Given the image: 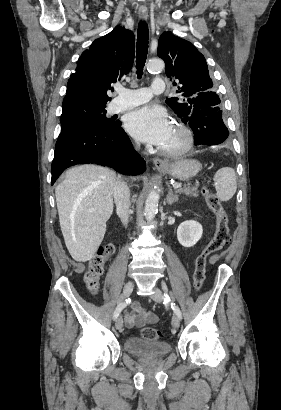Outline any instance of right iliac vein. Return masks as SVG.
<instances>
[{
	"instance_id": "1",
	"label": "right iliac vein",
	"mask_w": 281,
	"mask_h": 410,
	"mask_svg": "<svg viewBox=\"0 0 281 410\" xmlns=\"http://www.w3.org/2000/svg\"><path fill=\"white\" fill-rule=\"evenodd\" d=\"M133 289H134V284H133V282H127V283L125 284V286H124V289H123V297H124V298L129 297V296L131 295ZM115 327H116V329L119 330V331L122 330V328H123V319H122L121 316H119V317L116 319V321H115Z\"/></svg>"
}]
</instances>
